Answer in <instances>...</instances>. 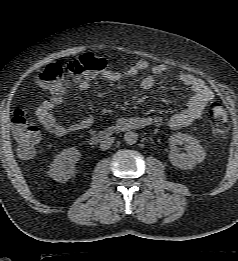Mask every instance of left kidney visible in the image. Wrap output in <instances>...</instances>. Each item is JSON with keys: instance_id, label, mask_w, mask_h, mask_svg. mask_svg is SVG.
I'll return each mask as SVG.
<instances>
[{"instance_id": "left-kidney-1", "label": "left kidney", "mask_w": 238, "mask_h": 261, "mask_svg": "<svg viewBox=\"0 0 238 261\" xmlns=\"http://www.w3.org/2000/svg\"><path fill=\"white\" fill-rule=\"evenodd\" d=\"M186 143V153H179L178 145ZM169 160L172 165L180 169H192L198 163H201L206 156L204 148L199 141L191 135L175 133L169 138Z\"/></svg>"}]
</instances>
